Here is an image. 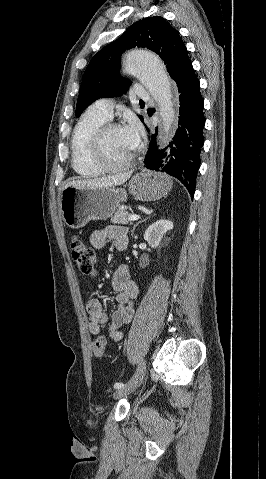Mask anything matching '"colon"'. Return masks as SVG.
Masks as SVG:
<instances>
[{
	"label": "colon",
	"instance_id": "5ec220e1",
	"mask_svg": "<svg viewBox=\"0 0 266 479\" xmlns=\"http://www.w3.org/2000/svg\"><path fill=\"white\" fill-rule=\"evenodd\" d=\"M70 250L73 261L83 274H90L96 262V256L93 249L85 240L78 236H73L70 241ZM107 341L104 337L96 338L92 343V351L96 357H104L106 354Z\"/></svg>",
	"mask_w": 266,
	"mask_h": 479
}]
</instances>
